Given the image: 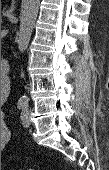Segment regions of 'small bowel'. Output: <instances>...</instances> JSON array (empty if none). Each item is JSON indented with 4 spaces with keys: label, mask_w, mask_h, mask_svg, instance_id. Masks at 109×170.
<instances>
[{
    "label": "small bowel",
    "mask_w": 109,
    "mask_h": 170,
    "mask_svg": "<svg viewBox=\"0 0 109 170\" xmlns=\"http://www.w3.org/2000/svg\"><path fill=\"white\" fill-rule=\"evenodd\" d=\"M7 97V92H3L2 100ZM10 139V132L7 126L5 115L1 116V147H5Z\"/></svg>",
    "instance_id": "small-bowel-1"
}]
</instances>
